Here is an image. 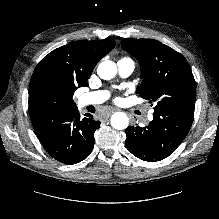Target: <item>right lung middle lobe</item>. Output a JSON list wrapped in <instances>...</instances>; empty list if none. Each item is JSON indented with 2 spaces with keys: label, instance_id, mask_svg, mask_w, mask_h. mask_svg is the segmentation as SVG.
Masks as SVG:
<instances>
[{
  "label": "right lung middle lobe",
  "instance_id": "dd1d6c3e",
  "mask_svg": "<svg viewBox=\"0 0 219 219\" xmlns=\"http://www.w3.org/2000/svg\"><path fill=\"white\" fill-rule=\"evenodd\" d=\"M36 102L39 105H42V110L32 114L54 115L69 111V108L63 105L57 97L53 94L46 93L43 90L39 92ZM32 114H30V116Z\"/></svg>",
  "mask_w": 219,
  "mask_h": 219
}]
</instances>
